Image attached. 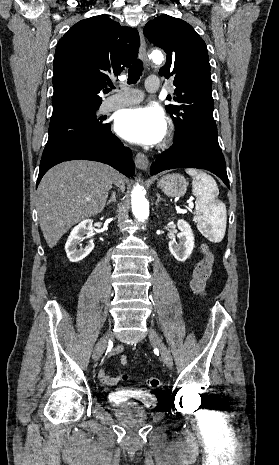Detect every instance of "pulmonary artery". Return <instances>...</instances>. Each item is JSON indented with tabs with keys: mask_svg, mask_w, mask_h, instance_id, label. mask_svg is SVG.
<instances>
[{
	"mask_svg": "<svg viewBox=\"0 0 279 465\" xmlns=\"http://www.w3.org/2000/svg\"><path fill=\"white\" fill-rule=\"evenodd\" d=\"M160 89L159 79L156 76H150L146 80V90L148 92H157ZM143 99V93L137 89L125 88L108 99L102 104V111L109 112L118 108L136 104Z\"/></svg>",
	"mask_w": 279,
	"mask_h": 465,
	"instance_id": "1",
	"label": "pulmonary artery"
}]
</instances>
